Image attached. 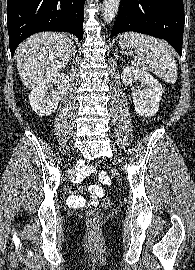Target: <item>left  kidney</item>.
<instances>
[{"label": "left kidney", "mask_w": 195, "mask_h": 270, "mask_svg": "<svg viewBox=\"0 0 195 270\" xmlns=\"http://www.w3.org/2000/svg\"><path fill=\"white\" fill-rule=\"evenodd\" d=\"M121 79L126 86H131L136 113L145 117L154 116L159 109L163 93L162 85L148 72L133 66H127L123 69ZM137 80L146 86L144 90L132 87L133 82Z\"/></svg>", "instance_id": "5707ae66"}]
</instances>
